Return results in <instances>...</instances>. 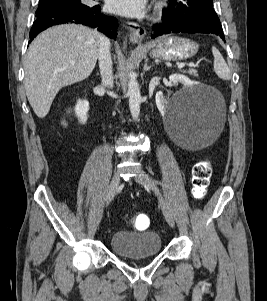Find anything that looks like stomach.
<instances>
[{
  "mask_svg": "<svg viewBox=\"0 0 267 301\" xmlns=\"http://www.w3.org/2000/svg\"><path fill=\"white\" fill-rule=\"evenodd\" d=\"M150 55L167 61H181L193 57L199 49L194 41L180 37H167L152 44Z\"/></svg>",
  "mask_w": 267,
  "mask_h": 301,
  "instance_id": "1",
  "label": "stomach"
}]
</instances>
